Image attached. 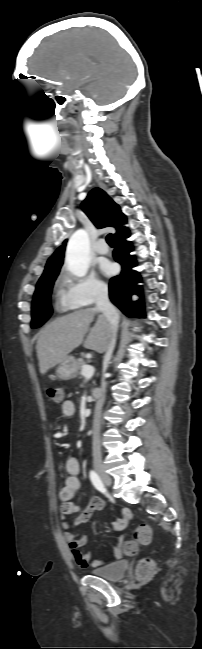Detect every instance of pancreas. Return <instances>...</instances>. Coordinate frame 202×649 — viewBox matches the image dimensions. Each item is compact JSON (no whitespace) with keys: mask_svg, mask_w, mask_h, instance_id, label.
Masks as SVG:
<instances>
[{"mask_svg":"<svg viewBox=\"0 0 202 649\" xmlns=\"http://www.w3.org/2000/svg\"><path fill=\"white\" fill-rule=\"evenodd\" d=\"M85 365H86V362L84 360H78L79 370H82L83 366H85ZM77 374L82 375L81 372L77 373Z\"/></svg>","mask_w":202,"mask_h":649,"instance_id":"cf45deb5","label":"pancreas"}]
</instances>
